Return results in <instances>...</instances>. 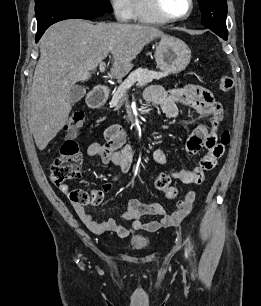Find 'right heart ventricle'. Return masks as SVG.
<instances>
[{"mask_svg": "<svg viewBox=\"0 0 261 306\" xmlns=\"http://www.w3.org/2000/svg\"><path fill=\"white\" fill-rule=\"evenodd\" d=\"M131 18L142 23L161 24L164 23L149 8L147 0H132Z\"/></svg>", "mask_w": 261, "mask_h": 306, "instance_id": "right-heart-ventricle-1", "label": "right heart ventricle"}]
</instances>
